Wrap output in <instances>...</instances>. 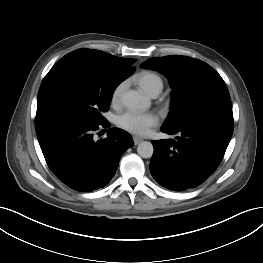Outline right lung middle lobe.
Instances as JSON below:
<instances>
[{
    "mask_svg": "<svg viewBox=\"0 0 263 263\" xmlns=\"http://www.w3.org/2000/svg\"><path fill=\"white\" fill-rule=\"evenodd\" d=\"M132 73L80 56L65 55L38 92L35 125L53 121L100 124L115 88Z\"/></svg>",
    "mask_w": 263,
    "mask_h": 263,
    "instance_id": "right-lung-middle-lobe-1",
    "label": "right lung middle lobe"
}]
</instances>
